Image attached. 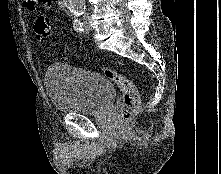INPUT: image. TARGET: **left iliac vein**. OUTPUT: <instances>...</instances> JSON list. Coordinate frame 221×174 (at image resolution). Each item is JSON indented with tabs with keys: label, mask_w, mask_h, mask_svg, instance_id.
I'll use <instances>...</instances> for the list:
<instances>
[{
	"label": "left iliac vein",
	"mask_w": 221,
	"mask_h": 174,
	"mask_svg": "<svg viewBox=\"0 0 221 174\" xmlns=\"http://www.w3.org/2000/svg\"><path fill=\"white\" fill-rule=\"evenodd\" d=\"M84 30H85V32H87V33H89V32L92 30V28H91V26H90L88 20H85V21H84Z\"/></svg>",
	"instance_id": "4c4485c4"
}]
</instances>
